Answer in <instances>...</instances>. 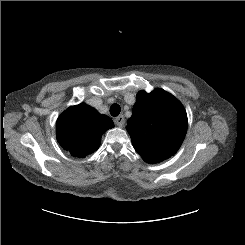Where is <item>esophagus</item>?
I'll list each match as a JSON object with an SVG mask.
<instances>
[{
	"label": "esophagus",
	"instance_id": "34e87169",
	"mask_svg": "<svg viewBox=\"0 0 245 245\" xmlns=\"http://www.w3.org/2000/svg\"><path fill=\"white\" fill-rule=\"evenodd\" d=\"M114 122L118 127H123L125 124V118L123 115H120L114 119Z\"/></svg>",
	"mask_w": 245,
	"mask_h": 245
}]
</instances>
